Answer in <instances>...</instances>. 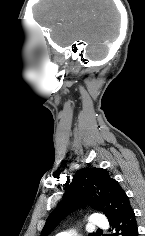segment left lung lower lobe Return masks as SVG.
I'll return each mask as SVG.
<instances>
[{
  "instance_id": "left-lung-lower-lobe-1",
  "label": "left lung lower lobe",
  "mask_w": 145,
  "mask_h": 236,
  "mask_svg": "<svg viewBox=\"0 0 145 236\" xmlns=\"http://www.w3.org/2000/svg\"><path fill=\"white\" fill-rule=\"evenodd\" d=\"M112 234L109 236H138L136 217L132 207L121 217L110 222Z\"/></svg>"
}]
</instances>
